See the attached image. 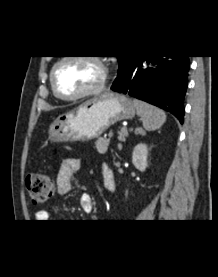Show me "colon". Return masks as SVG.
<instances>
[{"mask_svg":"<svg viewBox=\"0 0 218 277\" xmlns=\"http://www.w3.org/2000/svg\"><path fill=\"white\" fill-rule=\"evenodd\" d=\"M26 185L30 200L34 204L46 202L54 191V182L52 178L43 173H33L29 175Z\"/></svg>","mask_w":218,"mask_h":277,"instance_id":"5ec220e1","label":"colon"}]
</instances>
